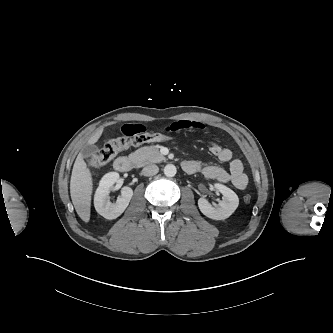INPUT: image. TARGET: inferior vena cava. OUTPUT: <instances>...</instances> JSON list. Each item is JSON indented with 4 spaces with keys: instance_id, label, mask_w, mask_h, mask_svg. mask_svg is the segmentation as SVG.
<instances>
[{
    "instance_id": "obj_1",
    "label": "inferior vena cava",
    "mask_w": 333,
    "mask_h": 333,
    "mask_svg": "<svg viewBox=\"0 0 333 333\" xmlns=\"http://www.w3.org/2000/svg\"><path fill=\"white\" fill-rule=\"evenodd\" d=\"M159 171V168L155 164L147 165L142 169L144 176H153L156 175Z\"/></svg>"
}]
</instances>
